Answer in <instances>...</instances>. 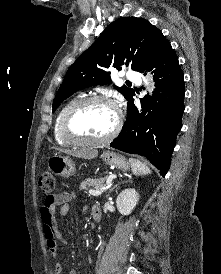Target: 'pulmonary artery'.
<instances>
[{
  "mask_svg": "<svg viewBox=\"0 0 221 274\" xmlns=\"http://www.w3.org/2000/svg\"><path fill=\"white\" fill-rule=\"evenodd\" d=\"M125 77L130 81L140 82V75L134 70H128Z\"/></svg>",
  "mask_w": 221,
  "mask_h": 274,
  "instance_id": "e3ab8cb5",
  "label": "pulmonary artery"
}]
</instances>
